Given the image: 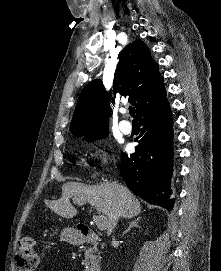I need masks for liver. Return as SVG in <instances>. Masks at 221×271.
<instances>
[{"instance_id":"1","label":"liver","mask_w":221,"mask_h":271,"mask_svg":"<svg viewBox=\"0 0 221 271\" xmlns=\"http://www.w3.org/2000/svg\"><path fill=\"white\" fill-rule=\"evenodd\" d=\"M62 197L56 201H46L48 207L62 215V217H74L76 207L72 205L69 197L77 195L80 201H89L98 211L108 217L107 235H110L114 223L118 217L131 219L141 213V203L134 193L118 181H102L100 185H83L76 181H69L62 185Z\"/></svg>"}]
</instances>
